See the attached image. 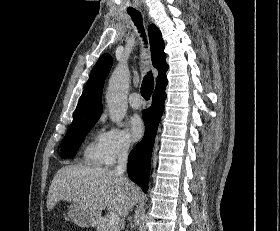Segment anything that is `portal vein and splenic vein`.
I'll return each mask as SVG.
<instances>
[{
    "label": "portal vein and splenic vein",
    "instance_id": "obj_1",
    "mask_svg": "<svg viewBox=\"0 0 280 231\" xmlns=\"http://www.w3.org/2000/svg\"><path fill=\"white\" fill-rule=\"evenodd\" d=\"M107 221L108 223H111V225H118L120 217L119 215H116V213H111V215H108Z\"/></svg>",
    "mask_w": 280,
    "mask_h": 231
}]
</instances>
